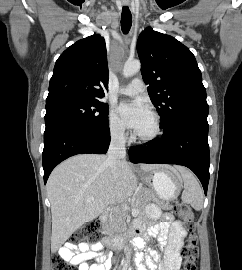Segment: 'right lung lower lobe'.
<instances>
[{
	"mask_svg": "<svg viewBox=\"0 0 242 270\" xmlns=\"http://www.w3.org/2000/svg\"><path fill=\"white\" fill-rule=\"evenodd\" d=\"M108 123L93 127L78 121H57L46 126L42 154L44 183L61 161L82 153L104 154L110 144Z\"/></svg>",
	"mask_w": 242,
	"mask_h": 270,
	"instance_id": "obj_1",
	"label": "right lung lower lobe"
}]
</instances>
